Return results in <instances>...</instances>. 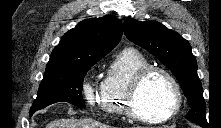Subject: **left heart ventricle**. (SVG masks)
Returning <instances> with one entry per match:
<instances>
[{
  "label": "left heart ventricle",
  "instance_id": "b2bd125f",
  "mask_svg": "<svg viewBox=\"0 0 221 128\" xmlns=\"http://www.w3.org/2000/svg\"><path fill=\"white\" fill-rule=\"evenodd\" d=\"M172 104L173 92L170 83L161 73L151 75L139 90L137 107L149 117L162 116Z\"/></svg>",
  "mask_w": 221,
  "mask_h": 128
}]
</instances>
